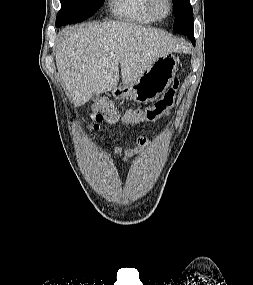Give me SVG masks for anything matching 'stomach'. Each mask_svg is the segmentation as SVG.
Returning a JSON list of instances; mask_svg holds the SVG:
<instances>
[{"label":"stomach","mask_w":253,"mask_h":285,"mask_svg":"<svg viewBox=\"0 0 253 285\" xmlns=\"http://www.w3.org/2000/svg\"><path fill=\"white\" fill-rule=\"evenodd\" d=\"M177 70V59L167 53L159 57L139 78L129 84L115 87L112 94L118 100L130 98L137 103L152 101L170 86Z\"/></svg>","instance_id":"0dacf381"}]
</instances>
